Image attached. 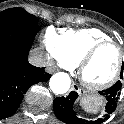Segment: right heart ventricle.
I'll use <instances>...</instances> for the list:
<instances>
[{"label":"right heart ventricle","instance_id":"obj_1","mask_svg":"<svg viewBox=\"0 0 124 124\" xmlns=\"http://www.w3.org/2000/svg\"><path fill=\"white\" fill-rule=\"evenodd\" d=\"M60 48L70 65H77L80 59L97 43L111 40L103 30L95 27L82 29H61Z\"/></svg>","mask_w":124,"mask_h":124}]
</instances>
